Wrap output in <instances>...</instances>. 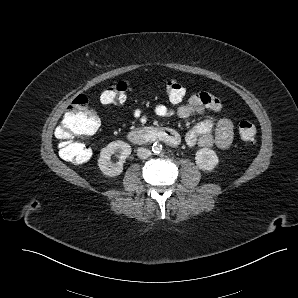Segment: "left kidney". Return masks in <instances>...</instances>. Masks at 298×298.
<instances>
[{"label":"left kidney","instance_id":"obj_1","mask_svg":"<svg viewBox=\"0 0 298 298\" xmlns=\"http://www.w3.org/2000/svg\"><path fill=\"white\" fill-rule=\"evenodd\" d=\"M196 163L199 168L211 170L217 163V155L210 148H202L196 152Z\"/></svg>","mask_w":298,"mask_h":298}]
</instances>
